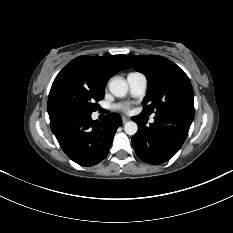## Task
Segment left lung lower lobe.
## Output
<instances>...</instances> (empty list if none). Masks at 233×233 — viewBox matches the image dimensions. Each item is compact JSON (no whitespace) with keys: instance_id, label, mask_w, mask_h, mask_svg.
Wrapping results in <instances>:
<instances>
[{"instance_id":"1","label":"left lung lower lobe","mask_w":233,"mask_h":233,"mask_svg":"<svg viewBox=\"0 0 233 233\" xmlns=\"http://www.w3.org/2000/svg\"><path fill=\"white\" fill-rule=\"evenodd\" d=\"M154 119L147 127L141 117L132 118L138 124L132 144L142 161L158 165L168 161L181 148L192 122L166 114L156 115Z\"/></svg>"}]
</instances>
